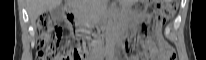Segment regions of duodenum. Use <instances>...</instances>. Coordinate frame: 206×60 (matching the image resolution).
Listing matches in <instances>:
<instances>
[{
  "label": "duodenum",
  "instance_id": "1",
  "mask_svg": "<svg viewBox=\"0 0 206 60\" xmlns=\"http://www.w3.org/2000/svg\"><path fill=\"white\" fill-rule=\"evenodd\" d=\"M65 17L67 19V21L72 24V28H83L84 24L83 23H79V19L77 17L76 14V7L74 3H70L68 4V6L66 7V11H65ZM86 28L89 32H92L97 38H101V37H105L106 34H116V36L118 38H121L122 36V30L124 29L123 25L118 26L116 29H106L103 30L101 28L92 26V25H86Z\"/></svg>",
  "mask_w": 206,
  "mask_h": 60
}]
</instances>
